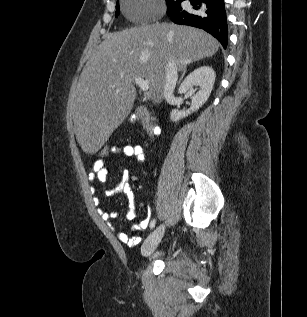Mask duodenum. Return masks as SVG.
I'll use <instances>...</instances> for the list:
<instances>
[{
    "mask_svg": "<svg viewBox=\"0 0 307 317\" xmlns=\"http://www.w3.org/2000/svg\"><path fill=\"white\" fill-rule=\"evenodd\" d=\"M137 114H138V116H139V118H140V120H141L142 123H143V122H146L147 124H148L149 122H152V123H153L152 118H151V115H150V113L147 111L146 108H144V107H139V108L137 109ZM153 124H154V123H153ZM142 127H143V126H142ZM143 128H144L146 134L148 135V137L153 138V137L155 136V134L152 132V131L155 129V125H153L152 127H149V126L147 125L146 127H143Z\"/></svg>",
    "mask_w": 307,
    "mask_h": 317,
    "instance_id": "1",
    "label": "duodenum"
}]
</instances>
